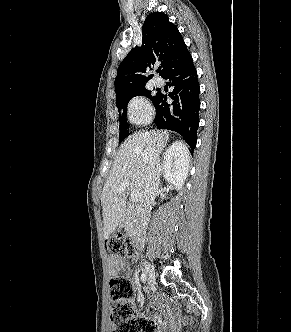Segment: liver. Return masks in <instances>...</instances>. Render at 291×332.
I'll list each match as a JSON object with an SVG mask.
<instances>
[{
  "label": "liver",
  "mask_w": 291,
  "mask_h": 332,
  "mask_svg": "<svg viewBox=\"0 0 291 332\" xmlns=\"http://www.w3.org/2000/svg\"><path fill=\"white\" fill-rule=\"evenodd\" d=\"M168 139V132H138L129 136L120 146L101 194L104 238H108L125 218L126 193L120 190L121 183L126 181L132 191L142 193L149 152L159 155ZM184 148L189 157L187 147Z\"/></svg>",
  "instance_id": "liver-1"
}]
</instances>
